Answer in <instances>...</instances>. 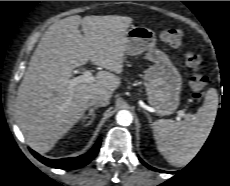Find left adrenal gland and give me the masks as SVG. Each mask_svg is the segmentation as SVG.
Wrapping results in <instances>:
<instances>
[{
	"label": "left adrenal gland",
	"mask_w": 230,
	"mask_h": 186,
	"mask_svg": "<svg viewBox=\"0 0 230 186\" xmlns=\"http://www.w3.org/2000/svg\"><path fill=\"white\" fill-rule=\"evenodd\" d=\"M144 113L146 114V116H147V118H148V120H149V123H152V122H151V117H150V115H149L147 112H145V111H144Z\"/></svg>",
	"instance_id": "obj_1"
}]
</instances>
